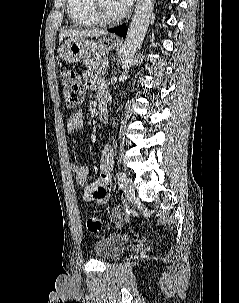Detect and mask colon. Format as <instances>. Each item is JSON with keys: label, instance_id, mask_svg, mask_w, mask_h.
<instances>
[{"label": "colon", "instance_id": "5ec220e1", "mask_svg": "<svg viewBox=\"0 0 239 303\" xmlns=\"http://www.w3.org/2000/svg\"><path fill=\"white\" fill-rule=\"evenodd\" d=\"M60 81L66 105L75 108L81 104L84 100L85 87L79 75L73 69L64 67L60 72ZM86 226L90 232L97 233L102 229V222L98 217L89 215L86 218Z\"/></svg>", "mask_w": 239, "mask_h": 303}]
</instances>
